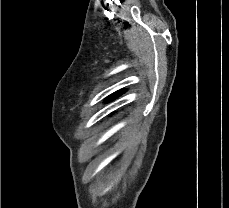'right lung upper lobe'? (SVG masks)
Wrapping results in <instances>:
<instances>
[{"label": "right lung upper lobe", "instance_id": "cb5924a9", "mask_svg": "<svg viewBox=\"0 0 229 208\" xmlns=\"http://www.w3.org/2000/svg\"><path fill=\"white\" fill-rule=\"evenodd\" d=\"M122 93H123V91H118L117 93H114V94L110 95L107 99L108 100H113V99H115L116 97H118Z\"/></svg>", "mask_w": 229, "mask_h": 208}]
</instances>
